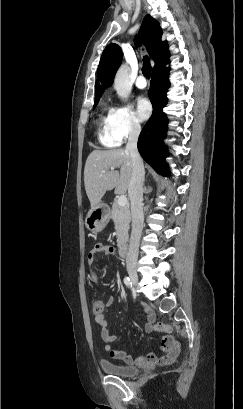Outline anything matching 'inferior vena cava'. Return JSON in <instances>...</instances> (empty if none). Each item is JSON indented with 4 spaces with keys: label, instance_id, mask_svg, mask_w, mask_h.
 Returning <instances> with one entry per match:
<instances>
[{
    "label": "inferior vena cava",
    "instance_id": "1",
    "mask_svg": "<svg viewBox=\"0 0 243 409\" xmlns=\"http://www.w3.org/2000/svg\"><path fill=\"white\" fill-rule=\"evenodd\" d=\"M141 128L139 125H132L129 131L126 151L129 152L132 162V174L128 186V194L131 202L132 231L130 237L129 251L126 258L127 265L135 264L138 259L139 241L143 228V181L144 166L137 149V141Z\"/></svg>",
    "mask_w": 243,
    "mask_h": 409
}]
</instances>
